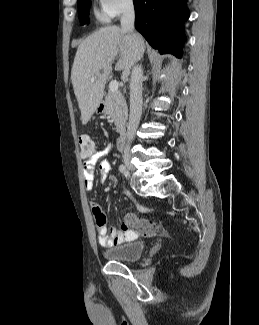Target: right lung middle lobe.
Here are the masks:
<instances>
[{
	"instance_id": "obj_1",
	"label": "right lung middle lobe",
	"mask_w": 259,
	"mask_h": 325,
	"mask_svg": "<svg viewBox=\"0 0 259 325\" xmlns=\"http://www.w3.org/2000/svg\"><path fill=\"white\" fill-rule=\"evenodd\" d=\"M91 0H78V13L81 25L89 24V5Z\"/></svg>"
}]
</instances>
